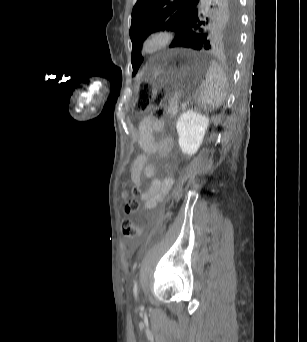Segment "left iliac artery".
Returning <instances> with one entry per match:
<instances>
[{
    "label": "left iliac artery",
    "mask_w": 307,
    "mask_h": 342,
    "mask_svg": "<svg viewBox=\"0 0 307 342\" xmlns=\"http://www.w3.org/2000/svg\"><path fill=\"white\" fill-rule=\"evenodd\" d=\"M133 291H134L135 298L137 299V292H138L137 280H136L135 283H134Z\"/></svg>",
    "instance_id": "left-iliac-artery-1"
}]
</instances>
